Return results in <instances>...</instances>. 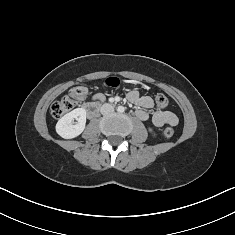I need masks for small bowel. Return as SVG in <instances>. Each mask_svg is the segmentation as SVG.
<instances>
[{
	"label": "small bowel",
	"mask_w": 235,
	"mask_h": 235,
	"mask_svg": "<svg viewBox=\"0 0 235 235\" xmlns=\"http://www.w3.org/2000/svg\"><path fill=\"white\" fill-rule=\"evenodd\" d=\"M128 100L133 104L140 107L139 110L136 111V115L141 120L152 119V123L156 127H163L164 125H177L178 117L175 113L171 111H155L152 115L149 113V109L153 106V100L151 97L147 95H140L137 91H131L127 95ZM92 101H103V94H95L92 96Z\"/></svg>",
	"instance_id": "c3829d8e"
}]
</instances>
